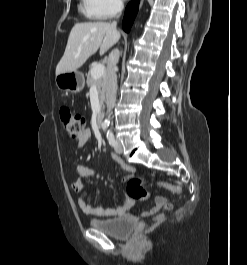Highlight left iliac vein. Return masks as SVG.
I'll use <instances>...</instances> for the list:
<instances>
[{"instance_id":"left-iliac-vein-1","label":"left iliac vein","mask_w":247,"mask_h":265,"mask_svg":"<svg viewBox=\"0 0 247 265\" xmlns=\"http://www.w3.org/2000/svg\"><path fill=\"white\" fill-rule=\"evenodd\" d=\"M115 151L118 154H121L123 152L122 144L119 140L116 141Z\"/></svg>"}]
</instances>
